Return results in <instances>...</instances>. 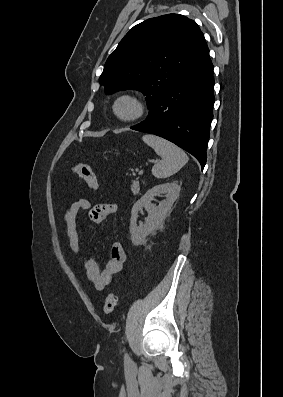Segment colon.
Masks as SVG:
<instances>
[{
    "instance_id": "1",
    "label": "colon",
    "mask_w": 283,
    "mask_h": 397,
    "mask_svg": "<svg viewBox=\"0 0 283 397\" xmlns=\"http://www.w3.org/2000/svg\"><path fill=\"white\" fill-rule=\"evenodd\" d=\"M71 171L72 173L81 177L91 189L95 191L99 190L97 177L90 165L86 163H76L72 166ZM116 301L117 300L114 294L110 293L107 295L104 303V312L106 314H111L114 311Z\"/></svg>"
}]
</instances>
